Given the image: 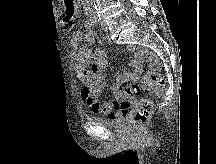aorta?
Instances as JSON below:
<instances>
[{"instance_id": "obj_1", "label": "aorta", "mask_w": 216, "mask_h": 164, "mask_svg": "<svg viewBox=\"0 0 216 164\" xmlns=\"http://www.w3.org/2000/svg\"><path fill=\"white\" fill-rule=\"evenodd\" d=\"M88 2L87 6L89 9V12L92 16L96 15V3L98 0H86Z\"/></svg>"}]
</instances>
